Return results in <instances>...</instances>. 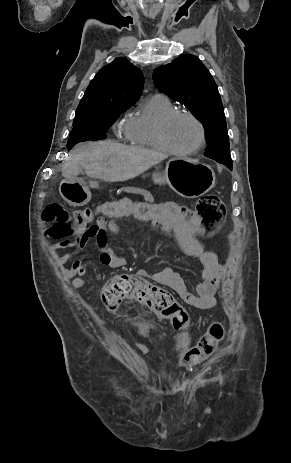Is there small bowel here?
Wrapping results in <instances>:
<instances>
[{"mask_svg": "<svg viewBox=\"0 0 291 463\" xmlns=\"http://www.w3.org/2000/svg\"><path fill=\"white\" fill-rule=\"evenodd\" d=\"M120 217H109L108 213L97 219L96 224L88 230L83 231L75 241L77 251H81L88 238H93L97 242L100 253V262L110 268H123L126 266V260L116 255L106 243L107 232H118L120 227L117 220ZM146 221L145 218H140ZM155 226V225H154ZM156 228L169 233L178 243L181 251L190 257L199 260L201 275L192 289H189L184 278L175 273L170 265L167 255L160 251V258L164 264L161 271L149 272L141 269L136 272L138 276L146 277L151 281L172 289L179 297L189 306L197 309H210L216 306V291L220 281L226 273L224 265L218 262L214 253L204 250L203 246L197 240L196 233L188 230L182 231L177 226H155ZM69 247V246H68ZM68 247L61 246L60 242L54 244L52 249L55 251L63 250ZM60 264L70 263V267L64 269L62 274L65 278L70 279L72 290H78L90 284L87 278L86 262L78 257L76 253L63 254L57 258Z\"/></svg>", "mask_w": 291, "mask_h": 463, "instance_id": "1", "label": "small bowel"}]
</instances>
